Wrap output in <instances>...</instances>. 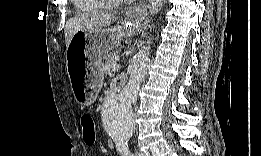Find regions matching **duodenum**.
<instances>
[{
    "mask_svg": "<svg viewBox=\"0 0 261 156\" xmlns=\"http://www.w3.org/2000/svg\"><path fill=\"white\" fill-rule=\"evenodd\" d=\"M123 82H118L116 85H114L109 92L108 98H111L116 95L117 91L122 88Z\"/></svg>",
    "mask_w": 261,
    "mask_h": 156,
    "instance_id": "duodenum-1",
    "label": "duodenum"
}]
</instances>
